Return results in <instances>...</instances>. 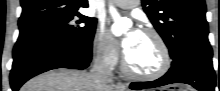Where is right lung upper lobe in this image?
Here are the masks:
<instances>
[{
    "mask_svg": "<svg viewBox=\"0 0 220 91\" xmlns=\"http://www.w3.org/2000/svg\"><path fill=\"white\" fill-rule=\"evenodd\" d=\"M23 8L19 24H24L48 15L77 11L87 8L86 0H21Z\"/></svg>",
    "mask_w": 220,
    "mask_h": 91,
    "instance_id": "obj_1",
    "label": "right lung upper lobe"
}]
</instances>
